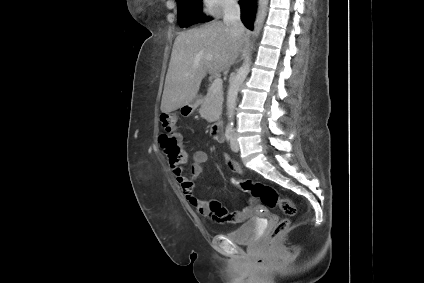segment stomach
Wrapping results in <instances>:
<instances>
[{
  "mask_svg": "<svg viewBox=\"0 0 424 283\" xmlns=\"http://www.w3.org/2000/svg\"><path fill=\"white\" fill-rule=\"evenodd\" d=\"M194 108H195V103H194V101H193V102H191V103H189V104L183 105V106L180 108V113L183 115V114H185L186 109H191V110H193ZM183 116H184V115H183Z\"/></svg>",
  "mask_w": 424,
  "mask_h": 283,
  "instance_id": "1",
  "label": "stomach"
}]
</instances>
